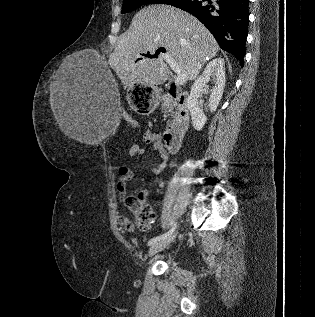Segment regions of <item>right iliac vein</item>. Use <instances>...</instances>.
Masks as SVG:
<instances>
[{
  "instance_id": "right-iliac-vein-1",
  "label": "right iliac vein",
  "mask_w": 315,
  "mask_h": 317,
  "mask_svg": "<svg viewBox=\"0 0 315 317\" xmlns=\"http://www.w3.org/2000/svg\"><path fill=\"white\" fill-rule=\"evenodd\" d=\"M175 238V234L174 235H170L168 238L160 240L159 242L154 243L149 251H148V256L152 257L153 255H155L156 253L162 251L164 248H166Z\"/></svg>"
}]
</instances>
